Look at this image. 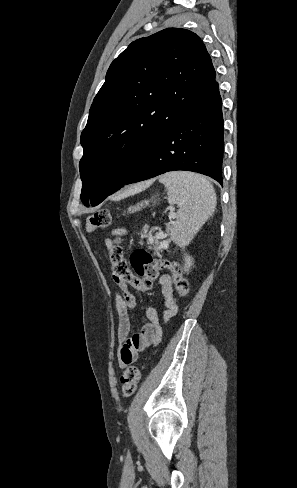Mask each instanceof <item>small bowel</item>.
<instances>
[{"mask_svg": "<svg viewBox=\"0 0 297 488\" xmlns=\"http://www.w3.org/2000/svg\"><path fill=\"white\" fill-rule=\"evenodd\" d=\"M113 234L125 235L126 231L123 228H117ZM105 246L107 249L111 248L109 238L105 239ZM112 279L117 287L115 313L118 320V362L120 367H126L136 361L140 352L159 343L162 336V327L157 310L153 307H148L145 311L148 322L143 324L138 332L131 335L130 312L136 309L138 305L135 293H143L147 289L134 283H127L117 279L113 275ZM172 283L173 279L169 274H164L159 278V288L166 307L163 312L164 321L174 316L178 308L173 298Z\"/></svg>", "mask_w": 297, "mask_h": 488, "instance_id": "1", "label": "small bowel"}]
</instances>
